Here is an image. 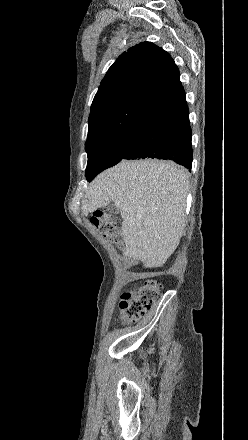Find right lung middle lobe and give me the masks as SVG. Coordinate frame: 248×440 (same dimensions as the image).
Instances as JSON below:
<instances>
[{
  "instance_id": "obj_1",
  "label": "right lung middle lobe",
  "mask_w": 248,
  "mask_h": 440,
  "mask_svg": "<svg viewBox=\"0 0 248 440\" xmlns=\"http://www.w3.org/2000/svg\"><path fill=\"white\" fill-rule=\"evenodd\" d=\"M129 139L128 130H123L111 134L90 147H86L88 154L86 178L89 182L98 173L116 165L123 159Z\"/></svg>"
}]
</instances>
